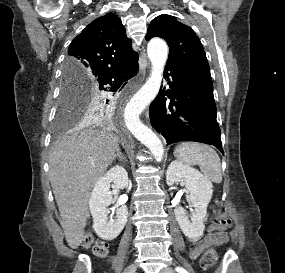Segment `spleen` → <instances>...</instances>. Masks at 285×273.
I'll use <instances>...</instances> for the list:
<instances>
[{
    "instance_id": "obj_1",
    "label": "spleen",
    "mask_w": 285,
    "mask_h": 273,
    "mask_svg": "<svg viewBox=\"0 0 285 273\" xmlns=\"http://www.w3.org/2000/svg\"><path fill=\"white\" fill-rule=\"evenodd\" d=\"M174 154L187 166L198 165L208 180L214 183L222 182L220 158L210 146L196 142H183L175 148Z\"/></svg>"
}]
</instances>
